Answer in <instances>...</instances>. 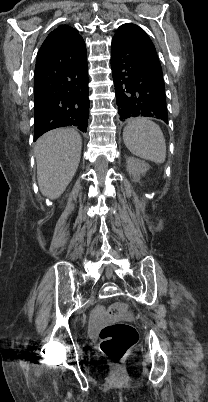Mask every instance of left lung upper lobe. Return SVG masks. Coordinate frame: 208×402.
I'll use <instances>...</instances> for the list:
<instances>
[{
    "instance_id": "left-lung-upper-lobe-1",
    "label": "left lung upper lobe",
    "mask_w": 208,
    "mask_h": 402,
    "mask_svg": "<svg viewBox=\"0 0 208 402\" xmlns=\"http://www.w3.org/2000/svg\"><path fill=\"white\" fill-rule=\"evenodd\" d=\"M146 48H147V57H146V61L147 64L159 75L162 76V68L158 59V56L156 54V50L155 47L152 43V41L150 40V38H148V41L146 43Z\"/></svg>"
}]
</instances>
